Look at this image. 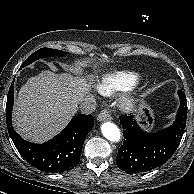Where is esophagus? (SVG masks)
Here are the masks:
<instances>
[{"label":"esophagus","mask_w":194,"mask_h":194,"mask_svg":"<svg viewBox=\"0 0 194 194\" xmlns=\"http://www.w3.org/2000/svg\"><path fill=\"white\" fill-rule=\"evenodd\" d=\"M111 114L107 109L102 110L97 117L98 121H110L111 120Z\"/></svg>","instance_id":"1"}]
</instances>
